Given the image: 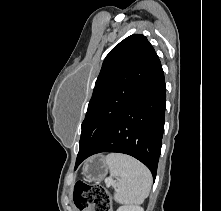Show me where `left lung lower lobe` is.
<instances>
[{
    "label": "left lung lower lobe",
    "mask_w": 221,
    "mask_h": 211,
    "mask_svg": "<svg viewBox=\"0 0 221 211\" xmlns=\"http://www.w3.org/2000/svg\"><path fill=\"white\" fill-rule=\"evenodd\" d=\"M165 102L164 73L158 58L139 92L100 141L76 162V167L91 155L117 152L141 161L155 178L164 131Z\"/></svg>",
    "instance_id": "1"
}]
</instances>
